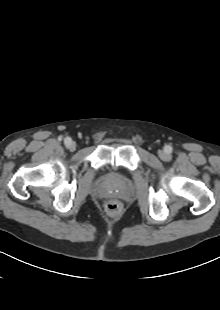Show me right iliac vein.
Instances as JSON below:
<instances>
[{"mask_svg": "<svg viewBox=\"0 0 220 310\" xmlns=\"http://www.w3.org/2000/svg\"><path fill=\"white\" fill-rule=\"evenodd\" d=\"M67 147L70 151H74L76 149V143L74 141H70V143L67 144Z\"/></svg>", "mask_w": 220, "mask_h": 310, "instance_id": "obj_1", "label": "right iliac vein"}]
</instances>
